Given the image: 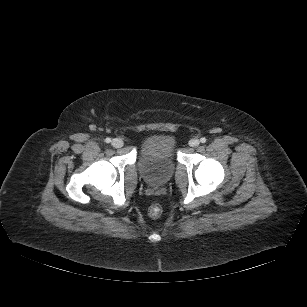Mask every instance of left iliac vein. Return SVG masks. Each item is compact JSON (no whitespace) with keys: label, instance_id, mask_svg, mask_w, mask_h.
Returning a JSON list of instances; mask_svg holds the SVG:
<instances>
[{"label":"left iliac vein","instance_id":"4c4485c4","mask_svg":"<svg viewBox=\"0 0 307 307\" xmlns=\"http://www.w3.org/2000/svg\"><path fill=\"white\" fill-rule=\"evenodd\" d=\"M189 145H190L191 147H197V146L199 145V140H198V139H191V140L189 141Z\"/></svg>","mask_w":307,"mask_h":307}]
</instances>
